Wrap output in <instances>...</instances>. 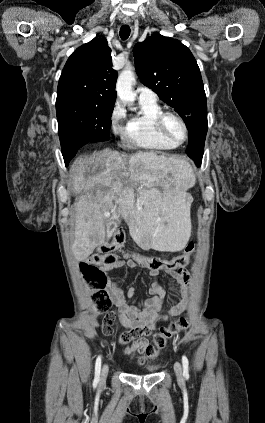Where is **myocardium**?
<instances>
[{
	"mask_svg": "<svg viewBox=\"0 0 265 423\" xmlns=\"http://www.w3.org/2000/svg\"><path fill=\"white\" fill-rule=\"evenodd\" d=\"M169 118H174L176 119L183 127L184 130V135L181 139H176L174 138L168 131L167 129V120ZM156 126L158 131L160 132V134L166 138L167 140L180 145L182 143H184L189 136V127L186 123V121L183 119V117H181L178 113L174 112V111H162L157 119H156Z\"/></svg>",
	"mask_w": 265,
	"mask_h": 423,
	"instance_id": "myocardium-1",
	"label": "myocardium"
}]
</instances>
